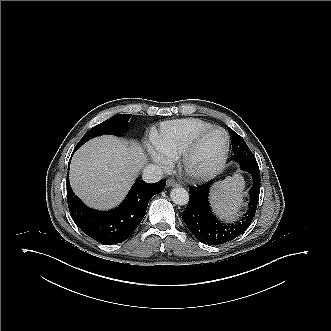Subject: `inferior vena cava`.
I'll return each instance as SVG.
<instances>
[{
    "mask_svg": "<svg viewBox=\"0 0 331 331\" xmlns=\"http://www.w3.org/2000/svg\"><path fill=\"white\" fill-rule=\"evenodd\" d=\"M164 176L163 170L156 164H147L142 170V179L147 183H156Z\"/></svg>",
    "mask_w": 331,
    "mask_h": 331,
    "instance_id": "1",
    "label": "inferior vena cava"
}]
</instances>
